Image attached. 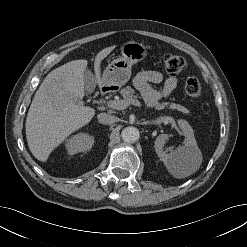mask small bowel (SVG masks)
<instances>
[{
  "label": "small bowel",
  "instance_id": "1",
  "mask_svg": "<svg viewBox=\"0 0 247 247\" xmlns=\"http://www.w3.org/2000/svg\"><path fill=\"white\" fill-rule=\"evenodd\" d=\"M163 75L155 70H143L139 72L134 79L136 88L141 92L145 102L151 106L161 98L166 97L172 93L177 87L178 79L176 77H169L164 81V86L161 91L156 90L151 84L161 83Z\"/></svg>",
  "mask_w": 247,
  "mask_h": 247
}]
</instances>
